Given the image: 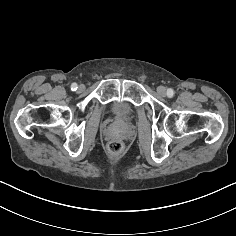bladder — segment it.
I'll use <instances>...</instances> for the list:
<instances>
[{
	"instance_id": "1",
	"label": "bladder",
	"mask_w": 236,
	"mask_h": 236,
	"mask_svg": "<svg viewBox=\"0 0 236 236\" xmlns=\"http://www.w3.org/2000/svg\"><path fill=\"white\" fill-rule=\"evenodd\" d=\"M110 113L120 122H129L134 117V108L124 100H115L110 106Z\"/></svg>"
}]
</instances>
